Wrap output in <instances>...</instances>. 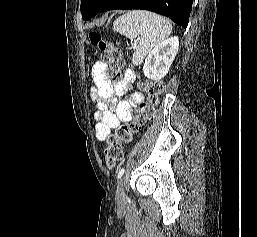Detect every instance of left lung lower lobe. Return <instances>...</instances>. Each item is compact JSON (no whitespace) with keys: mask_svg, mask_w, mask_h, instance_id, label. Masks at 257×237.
I'll return each instance as SVG.
<instances>
[{"mask_svg":"<svg viewBox=\"0 0 257 237\" xmlns=\"http://www.w3.org/2000/svg\"><path fill=\"white\" fill-rule=\"evenodd\" d=\"M193 0H109L99 12L143 9L169 17L186 29Z\"/></svg>","mask_w":257,"mask_h":237,"instance_id":"obj_1","label":"left lung lower lobe"}]
</instances>
